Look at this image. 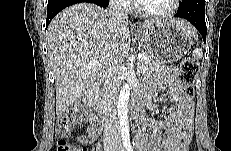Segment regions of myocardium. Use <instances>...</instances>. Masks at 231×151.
I'll list each match as a JSON object with an SVG mask.
<instances>
[{
	"label": "myocardium",
	"mask_w": 231,
	"mask_h": 151,
	"mask_svg": "<svg viewBox=\"0 0 231 151\" xmlns=\"http://www.w3.org/2000/svg\"><path fill=\"white\" fill-rule=\"evenodd\" d=\"M179 0H171V5H170V8L163 12V13H149V12H146L140 2H135L134 3V9H135V12L140 15L141 17L145 18V19H148V20H164V19H167L169 17H171L177 10L178 8V4H179Z\"/></svg>",
	"instance_id": "obj_1"
}]
</instances>
